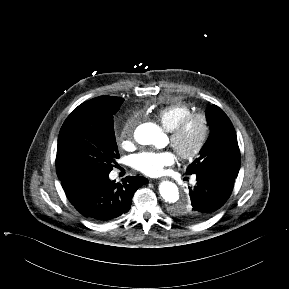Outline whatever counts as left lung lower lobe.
<instances>
[{
  "mask_svg": "<svg viewBox=\"0 0 289 289\" xmlns=\"http://www.w3.org/2000/svg\"><path fill=\"white\" fill-rule=\"evenodd\" d=\"M196 185L189 187L190 202L183 208L187 221L198 222L212 216L229 198L236 177L219 171L197 173Z\"/></svg>",
  "mask_w": 289,
  "mask_h": 289,
  "instance_id": "1",
  "label": "left lung lower lobe"
}]
</instances>
